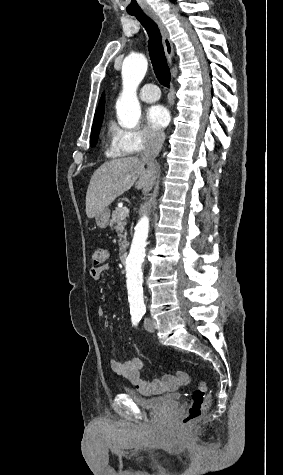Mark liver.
I'll return each mask as SVG.
<instances>
[{
	"label": "liver",
	"mask_w": 283,
	"mask_h": 475,
	"mask_svg": "<svg viewBox=\"0 0 283 475\" xmlns=\"http://www.w3.org/2000/svg\"><path fill=\"white\" fill-rule=\"evenodd\" d=\"M146 162L140 158H118L102 164L94 172L86 194L87 218H95L104 208L110 206L118 196L130 190L135 184L136 190L147 194L153 186V178L145 170Z\"/></svg>",
	"instance_id": "obj_1"
}]
</instances>
